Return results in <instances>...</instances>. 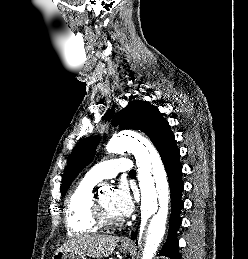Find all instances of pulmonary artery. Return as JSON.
Here are the masks:
<instances>
[{"label":"pulmonary artery","instance_id":"1","mask_svg":"<svg viewBox=\"0 0 248 259\" xmlns=\"http://www.w3.org/2000/svg\"><path fill=\"white\" fill-rule=\"evenodd\" d=\"M131 170H133V164L130 159L118 158L95 165L86 173L85 177L97 183L103 179L113 178L118 173H128Z\"/></svg>","mask_w":248,"mask_h":259}]
</instances>
